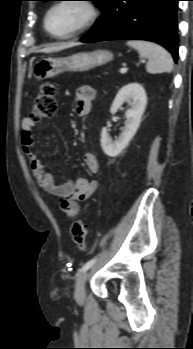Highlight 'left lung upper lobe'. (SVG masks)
I'll use <instances>...</instances> for the list:
<instances>
[{
    "instance_id": "1",
    "label": "left lung upper lobe",
    "mask_w": 193,
    "mask_h": 349,
    "mask_svg": "<svg viewBox=\"0 0 193 349\" xmlns=\"http://www.w3.org/2000/svg\"><path fill=\"white\" fill-rule=\"evenodd\" d=\"M38 1H54V0H38ZM90 1L95 2L101 10L104 9L107 2V0H90Z\"/></svg>"
}]
</instances>
